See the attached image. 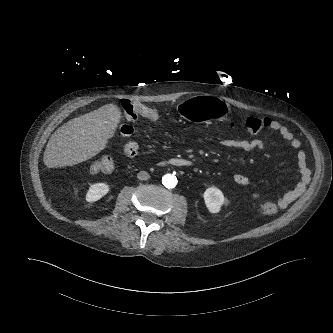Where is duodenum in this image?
I'll return each mask as SVG.
<instances>
[{
	"mask_svg": "<svg viewBox=\"0 0 333 333\" xmlns=\"http://www.w3.org/2000/svg\"><path fill=\"white\" fill-rule=\"evenodd\" d=\"M162 165L172 166V167H189L191 162L187 159L181 157H172L161 162Z\"/></svg>",
	"mask_w": 333,
	"mask_h": 333,
	"instance_id": "410a0bca",
	"label": "duodenum"
}]
</instances>
